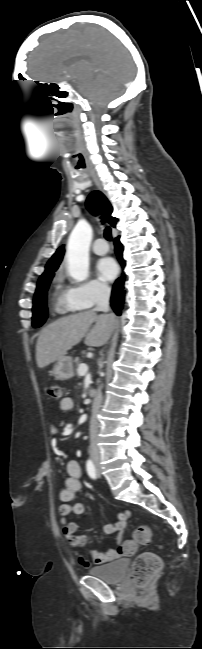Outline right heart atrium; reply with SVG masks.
Wrapping results in <instances>:
<instances>
[{"mask_svg":"<svg viewBox=\"0 0 202 649\" xmlns=\"http://www.w3.org/2000/svg\"><path fill=\"white\" fill-rule=\"evenodd\" d=\"M109 295V287L98 280L77 283L68 288L66 302L75 309H87L95 306Z\"/></svg>","mask_w":202,"mask_h":649,"instance_id":"right-heart-atrium-1","label":"right heart atrium"}]
</instances>
